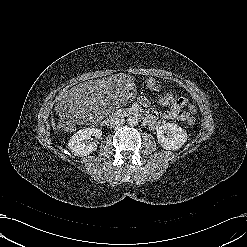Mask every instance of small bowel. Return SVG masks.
I'll list each match as a JSON object with an SVG mask.
<instances>
[{"mask_svg": "<svg viewBox=\"0 0 247 247\" xmlns=\"http://www.w3.org/2000/svg\"><path fill=\"white\" fill-rule=\"evenodd\" d=\"M148 86L153 90H157L156 81L153 78L148 80ZM142 102L144 105L148 104L147 99H143ZM169 107L170 110L163 113V117L169 120L183 122L193 113L192 107L185 99L174 97V101L169 105ZM146 122L150 127H156L158 124L157 119L152 115L147 116Z\"/></svg>", "mask_w": 247, "mask_h": 247, "instance_id": "obj_1", "label": "small bowel"}]
</instances>
